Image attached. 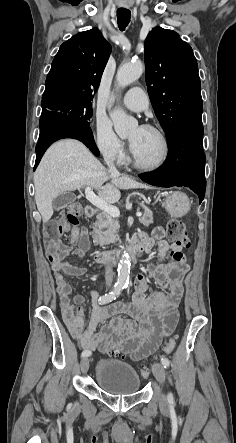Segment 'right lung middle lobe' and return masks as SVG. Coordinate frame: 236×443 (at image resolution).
<instances>
[{
  "label": "right lung middle lobe",
  "instance_id": "right-lung-middle-lobe-1",
  "mask_svg": "<svg viewBox=\"0 0 236 443\" xmlns=\"http://www.w3.org/2000/svg\"><path fill=\"white\" fill-rule=\"evenodd\" d=\"M42 112L53 110L66 114L75 122L90 128V118L93 110L89 99L71 96L59 95L51 97L44 102L41 101Z\"/></svg>",
  "mask_w": 236,
  "mask_h": 443
}]
</instances>
